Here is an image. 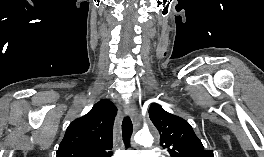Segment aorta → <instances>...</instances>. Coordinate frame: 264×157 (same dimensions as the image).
Instances as JSON below:
<instances>
[{
  "mask_svg": "<svg viewBox=\"0 0 264 157\" xmlns=\"http://www.w3.org/2000/svg\"><path fill=\"white\" fill-rule=\"evenodd\" d=\"M135 141L143 146H150L153 142V138L149 133H138L135 136Z\"/></svg>",
  "mask_w": 264,
  "mask_h": 157,
  "instance_id": "1",
  "label": "aorta"
}]
</instances>
